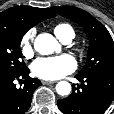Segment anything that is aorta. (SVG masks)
<instances>
[{
	"instance_id": "762f6f07",
	"label": "aorta",
	"mask_w": 114,
	"mask_h": 114,
	"mask_svg": "<svg viewBox=\"0 0 114 114\" xmlns=\"http://www.w3.org/2000/svg\"><path fill=\"white\" fill-rule=\"evenodd\" d=\"M58 47L56 39L47 33L39 34L34 41L35 50L43 55L53 53ZM56 91L59 95L67 96L71 92V85L67 81H60L56 85Z\"/></svg>"
}]
</instances>
